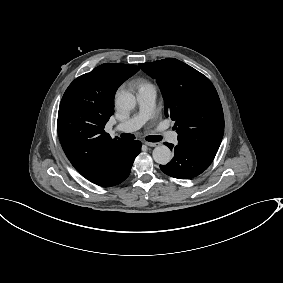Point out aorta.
Instances as JSON below:
<instances>
[{
    "label": "aorta",
    "instance_id": "762f6f07",
    "mask_svg": "<svg viewBox=\"0 0 283 283\" xmlns=\"http://www.w3.org/2000/svg\"><path fill=\"white\" fill-rule=\"evenodd\" d=\"M117 105L124 110L133 109L136 106L135 96L129 92L123 91L117 96ZM152 156L156 163L166 165L172 159V152L167 146L160 145L154 148Z\"/></svg>",
    "mask_w": 283,
    "mask_h": 283
}]
</instances>
